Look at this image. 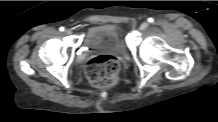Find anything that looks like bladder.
Masks as SVG:
<instances>
[{"mask_svg":"<svg viewBox=\"0 0 218 122\" xmlns=\"http://www.w3.org/2000/svg\"><path fill=\"white\" fill-rule=\"evenodd\" d=\"M84 45L92 50L121 54L126 52L121 33L111 25H100L91 28L84 39Z\"/></svg>","mask_w":218,"mask_h":122,"instance_id":"bladder-1","label":"bladder"}]
</instances>
